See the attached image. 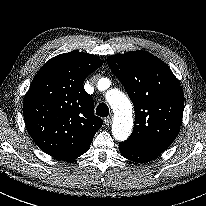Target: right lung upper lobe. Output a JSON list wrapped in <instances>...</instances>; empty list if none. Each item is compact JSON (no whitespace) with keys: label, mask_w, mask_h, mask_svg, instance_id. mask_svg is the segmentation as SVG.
I'll use <instances>...</instances> for the list:
<instances>
[{"label":"right lung upper lobe","mask_w":206,"mask_h":206,"mask_svg":"<svg viewBox=\"0 0 206 206\" xmlns=\"http://www.w3.org/2000/svg\"><path fill=\"white\" fill-rule=\"evenodd\" d=\"M101 65L95 55L72 51L53 57L36 74L23 114L28 133L45 153L67 160L89 148L103 121L94 115L83 83Z\"/></svg>","instance_id":"obj_1"}]
</instances>
